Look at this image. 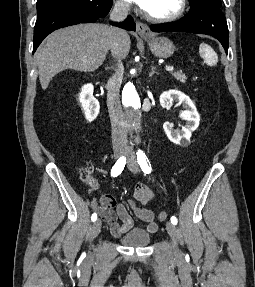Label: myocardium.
Wrapping results in <instances>:
<instances>
[{"label": "myocardium", "mask_w": 255, "mask_h": 287, "mask_svg": "<svg viewBox=\"0 0 255 287\" xmlns=\"http://www.w3.org/2000/svg\"><path fill=\"white\" fill-rule=\"evenodd\" d=\"M142 33H150V32H142ZM166 33H174V32H166ZM132 39H136V38H132ZM143 39H154V38H143ZM164 39H174V38H164ZM143 48H154V47H143Z\"/></svg>", "instance_id": "f54148a6"}]
</instances>
